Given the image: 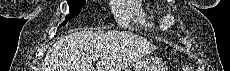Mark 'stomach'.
Listing matches in <instances>:
<instances>
[{
    "instance_id": "obj_1",
    "label": "stomach",
    "mask_w": 230,
    "mask_h": 71,
    "mask_svg": "<svg viewBox=\"0 0 230 71\" xmlns=\"http://www.w3.org/2000/svg\"><path fill=\"white\" fill-rule=\"evenodd\" d=\"M157 69L161 68L156 67L155 64H152L150 61H142L137 65H134L132 68H125L124 71H160Z\"/></svg>"
}]
</instances>
